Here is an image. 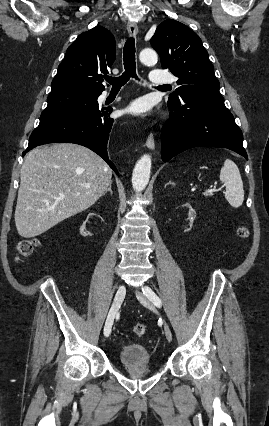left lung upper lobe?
Wrapping results in <instances>:
<instances>
[{
    "instance_id": "left-lung-upper-lobe-1",
    "label": "left lung upper lobe",
    "mask_w": 269,
    "mask_h": 426,
    "mask_svg": "<svg viewBox=\"0 0 269 426\" xmlns=\"http://www.w3.org/2000/svg\"><path fill=\"white\" fill-rule=\"evenodd\" d=\"M151 45L161 58V65L176 77L179 87L168 102L179 101L188 93L202 89H219L214 67L199 36L186 25L168 19L156 29Z\"/></svg>"
}]
</instances>
